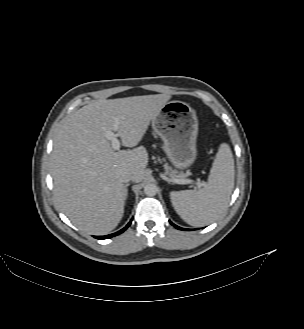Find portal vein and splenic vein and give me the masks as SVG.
I'll return each instance as SVG.
<instances>
[{
    "mask_svg": "<svg viewBox=\"0 0 304 329\" xmlns=\"http://www.w3.org/2000/svg\"><path fill=\"white\" fill-rule=\"evenodd\" d=\"M116 131V129H115ZM115 131H106L105 137L111 142L112 148L114 150L120 149V141L117 138L119 134H115ZM169 181L175 183V184H196L198 188L204 186V184L200 181L194 182L191 179H169Z\"/></svg>",
    "mask_w": 304,
    "mask_h": 329,
    "instance_id": "obj_1",
    "label": "portal vein and splenic vein"
}]
</instances>
